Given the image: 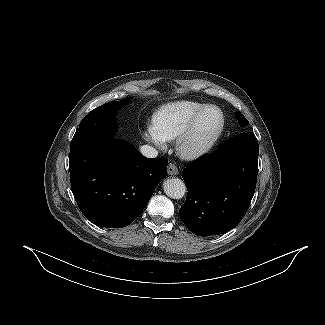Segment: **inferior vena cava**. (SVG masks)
I'll list each match as a JSON object with an SVG mask.
<instances>
[{"mask_svg": "<svg viewBox=\"0 0 325 325\" xmlns=\"http://www.w3.org/2000/svg\"><path fill=\"white\" fill-rule=\"evenodd\" d=\"M140 152L142 153L143 156L147 158H155L158 156V151L149 145L141 146Z\"/></svg>", "mask_w": 325, "mask_h": 325, "instance_id": "602c4592", "label": "inferior vena cava"}]
</instances>
